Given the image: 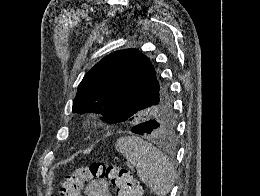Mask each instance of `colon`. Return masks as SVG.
<instances>
[{"instance_id":"1","label":"colon","mask_w":260,"mask_h":196,"mask_svg":"<svg viewBox=\"0 0 260 196\" xmlns=\"http://www.w3.org/2000/svg\"><path fill=\"white\" fill-rule=\"evenodd\" d=\"M103 181H108L119 192L129 191L135 185L126 167L96 162L66 174L60 182L59 196H81L85 184Z\"/></svg>"}]
</instances>
